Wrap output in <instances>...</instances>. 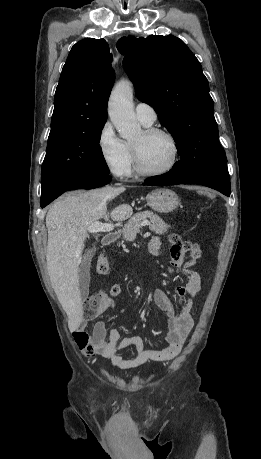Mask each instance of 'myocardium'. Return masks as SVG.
I'll return each mask as SVG.
<instances>
[{
	"label": "myocardium",
	"mask_w": 261,
	"mask_h": 459,
	"mask_svg": "<svg viewBox=\"0 0 261 459\" xmlns=\"http://www.w3.org/2000/svg\"><path fill=\"white\" fill-rule=\"evenodd\" d=\"M143 133L146 136H151V135H155V134H161V135L166 136L169 139V141L171 142V145H172V158H171L170 163L166 167H164L163 169H159V170L147 169L142 164L138 148L134 144H131L133 161H134V165H135L136 171L139 174L144 175V176H159V175H164V174L170 172L175 167V165L177 164V161H178V158H179V146H178V142H177V139L175 138V136L170 131H168L167 129H164V128H161V127H152V126L146 127L143 130Z\"/></svg>",
	"instance_id": "obj_1"
}]
</instances>
